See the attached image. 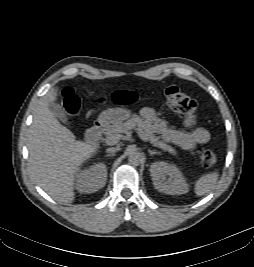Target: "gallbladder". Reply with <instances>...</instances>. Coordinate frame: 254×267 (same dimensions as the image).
Segmentation results:
<instances>
[{
    "mask_svg": "<svg viewBox=\"0 0 254 267\" xmlns=\"http://www.w3.org/2000/svg\"><path fill=\"white\" fill-rule=\"evenodd\" d=\"M49 110L55 117H57L64 124L68 123L66 113L62 108V106H60L58 103H50Z\"/></svg>",
    "mask_w": 254,
    "mask_h": 267,
    "instance_id": "1",
    "label": "gallbladder"
}]
</instances>
